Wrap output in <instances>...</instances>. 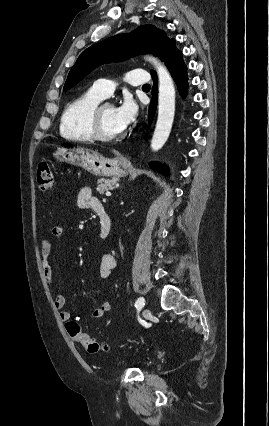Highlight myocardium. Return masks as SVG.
Returning <instances> with one entry per match:
<instances>
[{"label": "myocardium", "instance_id": "1", "mask_svg": "<svg viewBox=\"0 0 269 426\" xmlns=\"http://www.w3.org/2000/svg\"><path fill=\"white\" fill-rule=\"evenodd\" d=\"M112 106L109 102H99L91 111L89 126L92 132L93 139L98 140L104 143L116 142L124 137V133H121L118 136H107L103 133L101 124H100V116L104 107ZM113 107V106H112Z\"/></svg>", "mask_w": 269, "mask_h": 426}]
</instances>
